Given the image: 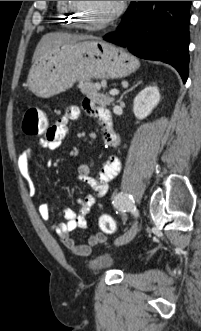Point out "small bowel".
I'll use <instances>...</instances> for the list:
<instances>
[{"instance_id":"obj_1","label":"small bowel","mask_w":201,"mask_h":331,"mask_svg":"<svg viewBox=\"0 0 201 331\" xmlns=\"http://www.w3.org/2000/svg\"><path fill=\"white\" fill-rule=\"evenodd\" d=\"M84 110L91 116L98 119L102 126V141L106 148L112 149L118 144V136L115 132L110 112L96 104L93 100L86 99L83 102ZM81 110L78 106L71 105L66 108L64 114L48 126V129L39 139L37 144L21 151L17 159L19 171L28 185L31 195L36 194V186L30 173V162L38 148L47 150L58 149L68 132V125L80 117ZM121 169V162L117 156L109 153L98 176H92L91 167L88 164H81L78 167L77 177L86 183L94 194H89L78 200L79 210L74 211L71 208L63 209V222L51 223V230L59 237L66 248L77 255L85 256L91 251L87 244H76L71 233L78 229H85L87 226L86 217L90 213L95 203L96 196L103 197L108 191V182L115 178ZM41 218L49 221L51 218L50 206L42 203L38 207Z\"/></svg>"}]
</instances>
